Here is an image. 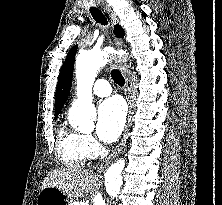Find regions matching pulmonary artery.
Wrapping results in <instances>:
<instances>
[{"label":"pulmonary artery","instance_id":"e3ab8cb5","mask_svg":"<svg viewBox=\"0 0 222 205\" xmlns=\"http://www.w3.org/2000/svg\"><path fill=\"white\" fill-rule=\"evenodd\" d=\"M92 92L97 97H106L111 94L112 88L108 81L99 79L95 82Z\"/></svg>","mask_w":222,"mask_h":205}]
</instances>
